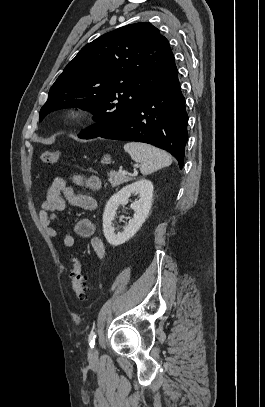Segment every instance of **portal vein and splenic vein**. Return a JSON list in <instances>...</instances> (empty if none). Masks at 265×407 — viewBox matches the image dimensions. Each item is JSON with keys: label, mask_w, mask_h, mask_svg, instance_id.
I'll return each mask as SVG.
<instances>
[{"label": "portal vein and splenic vein", "mask_w": 265, "mask_h": 407, "mask_svg": "<svg viewBox=\"0 0 265 407\" xmlns=\"http://www.w3.org/2000/svg\"><path fill=\"white\" fill-rule=\"evenodd\" d=\"M121 174H128V171H120Z\"/></svg>", "instance_id": "portal-vein-and-splenic-vein-1"}]
</instances>
